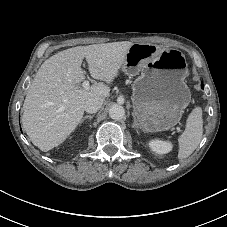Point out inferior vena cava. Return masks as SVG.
<instances>
[{
    "label": "inferior vena cava",
    "instance_id": "602c4592",
    "mask_svg": "<svg viewBox=\"0 0 227 227\" xmlns=\"http://www.w3.org/2000/svg\"><path fill=\"white\" fill-rule=\"evenodd\" d=\"M104 98H90L84 105V110L88 113H96L102 106Z\"/></svg>",
    "mask_w": 227,
    "mask_h": 227
}]
</instances>
